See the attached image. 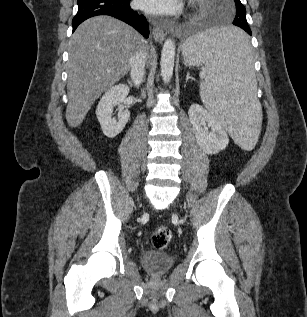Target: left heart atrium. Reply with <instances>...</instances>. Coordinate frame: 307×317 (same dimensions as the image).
Masks as SVG:
<instances>
[{
  "label": "left heart atrium",
  "instance_id": "obj_1",
  "mask_svg": "<svg viewBox=\"0 0 307 317\" xmlns=\"http://www.w3.org/2000/svg\"><path fill=\"white\" fill-rule=\"evenodd\" d=\"M138 6L151 14H173L181 8L180 0H137Z\"/></svg>",
  "mask_w": 307,
  "mask_h": 317
}]
</instances>
